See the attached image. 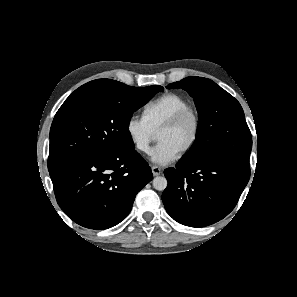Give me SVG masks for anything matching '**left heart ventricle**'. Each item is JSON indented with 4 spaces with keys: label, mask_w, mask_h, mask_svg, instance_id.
<instances>
[{
    "label": "left heart ventricle",
    "mask_w": 297,
    "mask_h": 297,
    "mask_svg": "<svg viewBox=\"0 0 297 297\" xmlns=\"http://www.w3.org/2000/svg\"><path fill=\"white\" fill-rule=\"evenodd\" d=\"M194 130L191 118H186L179 126L172 130L163 131L157 135L159 142H166L179 153L190 141Z\"/></svg>",
    "instance_id": "1"
}]
</instances>
